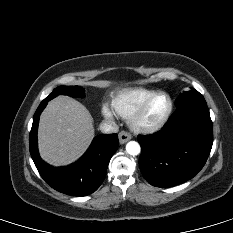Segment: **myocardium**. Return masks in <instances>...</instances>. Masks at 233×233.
Masks as SVG:
<instances>
[{
  "instance_id": "1",
  "label": "myocardium",
  "mask_w": 233,
  "mask_h": 233,
  "mask_svg": "<svg viewBox=\"0 0 233 233\" xmlns=\"http://www.w3.org/2000/svg\"><path fill=\"white\" fill-rule=\"evenodd\" d=\"M158 96L167 97L168 102H169V106H168L167 111L165 112L163 117L158 122H156L152 125L142 124L141 118H142L145 110L147 109L149 104ZM172 111H173V100H172L171 96L164 91H157V92L153 93L152 95H150L149 97H147L136 108V110L128 118V123H129L130 128L136 133L152 134V133L159 131L160 129H162L164 127V125L168 122V120L172 114Z\"/></svg>"
}]
</instances>
